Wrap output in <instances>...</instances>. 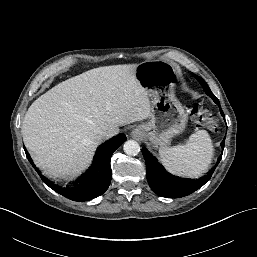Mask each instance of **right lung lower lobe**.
<instances>
[{
    "instance_id": "right-lung-lower-lobe-1",
    "label": "right lung lower lobe",
    "mask_w": 257,
    "mask_h": 257,
    "mask_svg": "<svg viewBox=\"0 0 257 257\" xmlns=\"http://www.w3.org/2000/svg\"><path fill=\"white\" fill-rule=\"evenodd\" d=\"M125 140L126 136L119 134L100 145L97 148L92 165L73 187L65 188L49 181L35 168L27 152L26 156L45 184L55 192L73 201H88L102 195L108 189L112 177L111 155Z\"/></svg>"
}]
</instances>
